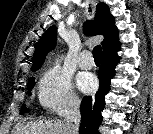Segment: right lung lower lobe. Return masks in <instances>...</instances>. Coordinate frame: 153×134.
Segmentation results:
<instances>
[{
	"mask_svg": "<svg viewBox=\"0 0 153 134\" xmlns=\"http://www.w3.org/2000/svg\"><path fill=\"white\" fill-rule=\"evenodd\" d=\"M120 47L119 43L102 53V64L98 72L100 86L95 97L85 96L82 100L79 134H98V127L102 121L101 111L105 106L104 97L110 89V80L113 78L115 66L119 62L117 52Z\"/></svg>",
	"mask_w": 153,
	"mask_h": 134,
	"instance_id": "obj_1",
	"label": "right lung lower lobe"
}]
</instances>
